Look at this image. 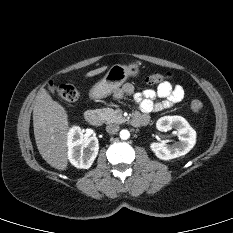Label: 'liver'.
Listing matches in <instances>:
<instances>
[{
	"label": "liver",
	"mask_w": 233,
	"mask_h": 233,
	"mask_svg": "<svg viewBox=\"0 0 233 233\" xmlns=\"http://www.w3.org/2000/svg\"><path fill=\"white\" fill-rule=\"evenodd\" d=\"M107 66L92 70L86 77L104 72ZM33 127L36 145L42 158L60 171L68 166V115L65 108L54 101L48 91L41 88L35 98Z\"/></svg>",
	"instance_id": "1"
}]
</instances>
